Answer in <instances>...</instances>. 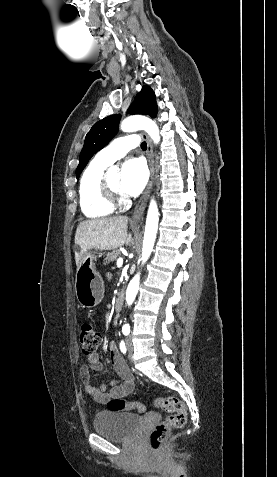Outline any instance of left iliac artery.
I'll list each match as a JSON object with an SVG mask.
<instances>
[{"label":"left iliac artery","mask_w":277,"mask_h":477,"mask_svg":"<svg viewBox=\"0 0 277 477\" xmlns=\"http://www.w3.org/2000/svg\"><path fill=\"white\" fill-rule=\"evenodd\" d=\"M129 332H130V330H129L128 328H124V329H123V334H124V335H128Z\"/></svg>","instance_id":"44dca946"}]
</instances>
